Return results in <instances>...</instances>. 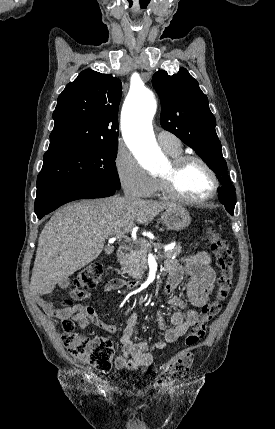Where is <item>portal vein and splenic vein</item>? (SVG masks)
<instances>
[{
    "label": "portal vein and splenic vein",
    "instance_id": "1",
    "mask_svg": "<svg viewBox=\"0 0 275 429\" xmlns=\"http://www.w3.org/2000/svg\"><path fill=\"white\" fill-rule=\"evenodd\" d=\"M122 237H123V233L118 234V235H115L114 237H112V238H111V240H115V239L121 240V239H122ZM173 247H174L173 245L165 246V247H164V249H165V250H170V249H172Z\"/></svg>",
    "mask_w": 275,
    "mask_h": 429
}]
</instances>
